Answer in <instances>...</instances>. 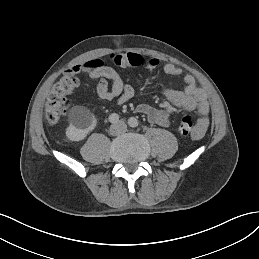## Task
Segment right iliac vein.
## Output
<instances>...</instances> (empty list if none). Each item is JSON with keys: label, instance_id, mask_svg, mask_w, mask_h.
Segmentation results:
<instances>
[{"label": "right iliac vein", "instance_id": "obj_1", "mask_svg": "<svg viewBox=\"0 0 259 259\" xmlns=\"http://www.w3.org/2000/svg\"><path fill=\"white\" fill-rule=\"evenodd\" d=\"M119 132H120V129H119V127L116 126V125H114V126H112V127L110 128V133H111L112 135H118Z\"/></svg>", "mask_w": 259, "mask_h": 259}]
</instances>
